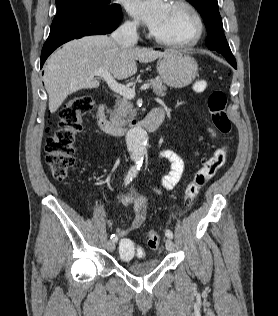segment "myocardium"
I'll use <instances>...</instances> for the list:
<instances>
[{
    "mask_svg": "<svg viewBox=\"0 0 278 316\" xmlns=\"http://www.w3.org/2000/svg\"><path fill=\"white\" fill-rule=\"evenodd\" d=\"M171 4L185 10L191 16L194 22L193 35L190 38L186 40H182V41H172V40L163 39L155 35L153 32L150 33V37L156 43L162 46L170 47V48L186 49V48H191L195 46L200 41L204 32V23H203V19L200 13L187 0H172Z\"/></svg>",
    "mask_w": 278,
    "mask_h": 316,
    "instance_id": "f54148a6",
    "label": "myocardium"
}]
</instances>
